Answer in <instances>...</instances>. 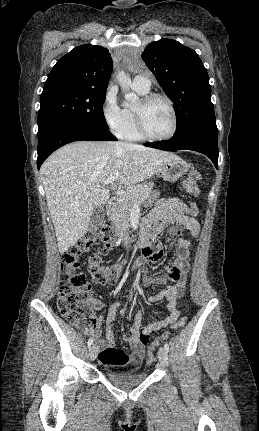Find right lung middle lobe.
<instances>
[{
	"label": "right lung middle lobe",
	"instance_id": "1",
	"mask_svg": "<svg viewBox=\"0 0 259 431\" xmlns=\"http://www.w3.org/2000/svg\"><path fill=\"white\" fill-rule=\"evenodd\" d=\"M106 91L55 87L41 94L38 131L50 123L71 120L107 128L103 114Z\"/></svg>",
	"mask_w": 259,
	"mask_h": 431
}]
</instances>
